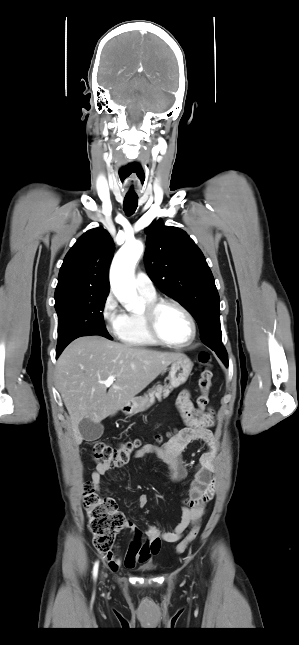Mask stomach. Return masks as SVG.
I'll use <instances>...</instances> for the list:
<instances>
[{"label":"stomach","mask_w":299,"mask_h":645,"mask_svg":"<svg viewBox=\"0 0 299 645\" xmlns=\"http://www.w3.org/2000/svg\"><path fill=\"white\" fill-rule=\"evenodd\" d=\"M193 368L191 360L183 355L181 358L175 360L170 367L169 380L170 387L176 388L184 384ZM150 396H139L132 399L127 405L122 407V411L128 415H133L146 410L150 406Z\"/></svg>","instance_id":"1"}]
</instances>
